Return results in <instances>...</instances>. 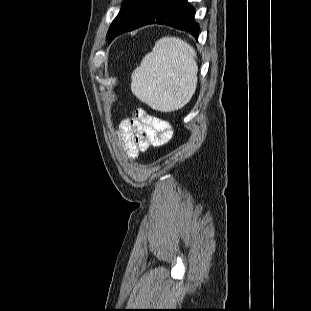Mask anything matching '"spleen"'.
<instances>
[{
    "mask_svg": "<svg viewBox=\"0 0 311 311\" xmlns=\"http://www.w3.org/2000/svg\"><path fill=\"white\" fill-rule=\"evenodd\" d=\"M196 52L176 37H163L132 75L131 91L152 109L172 112L184 107L197 85Z\"/></svg>",
    "mask_w": 311,
    "mask_h": 311,
    "instance_id": "spleen-1",
    "label": "spleen"
}]
</instances>
